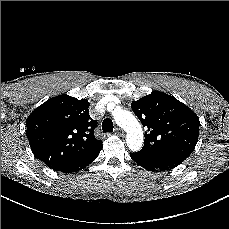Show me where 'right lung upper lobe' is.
Masks as SVG:
<instances>
[{
  "mask_svg": "<svg viewBox=\"0 0 229 229\" xmlns=\"http://www.w3.org/2000/svg\"><path fill=\"white\" fill-rule=\"evenodd\" d=\"M89 102L66 94L53 97L27 118V137L36 158L52 169L65 167L102 147Z\"/></svg>",
  "mask_w": 229,
  "mask_h": 229,
  "instance_id": "1",
  "label": "right lung upper lobe"
}]
</instances>
